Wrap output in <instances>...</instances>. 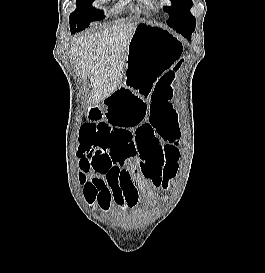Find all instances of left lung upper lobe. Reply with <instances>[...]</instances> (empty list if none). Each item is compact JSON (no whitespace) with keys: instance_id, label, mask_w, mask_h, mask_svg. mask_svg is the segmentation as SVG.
<instances>
[{"instance_id":"left-lung-upper-lobe-1","label":"left lung upper lobe","mask_w":265,"mask_h":273,"mask_svg":"<svg viewBox=\"0 0 265 273\" xmlns=\"http://www.w3.org/2000/svg\"><path fill=\"white\" fill-rule=\"evenodd\" d=\"M171 2L172 7H164V11L170 16L168 25L175 30L195 27V18L190 13L192 0H171Z\"/></svg>"}]
</instances>
